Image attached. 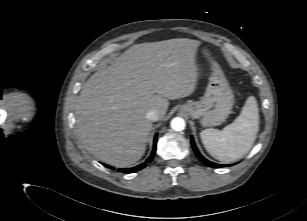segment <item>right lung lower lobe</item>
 I'll return each mask as SVG.
<instances>
[{"instance_id":"98d812e1","label":"right lung lower lobe","mask_w":307,"mask_h":221,"mask_svg":"<svg viewBox=\"0 0 307 221\" xmlns=\"http://www.w3.org/2000/svg\"><path fill=\"white\" fill-rule=\"evenodd\" d=\"M156 143H157V135H155V138H154V145H153V151L150 155V157L146 160V162H151L154 155H155V152H156ZM104 166L114 170L115 168L112 167V166H109V165H106L104 164ZM146 166V163H141L140 165L136 166V167H133V168H124V169H118L119 172H124V173H133V172H136V171H139L141 169H143L144 167Z\"/></svg>"}]
</instances>
